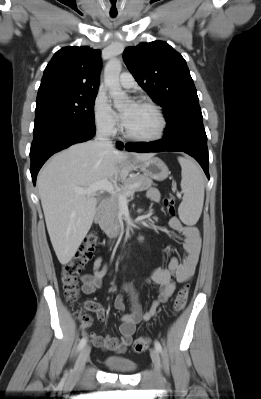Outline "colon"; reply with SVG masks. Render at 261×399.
<instances>
[{
  "label": "colon",
  "mask_w": 261,
  "mask_h": 399,
  "mask_svg": "<svg viewBox=\"0 0 261 399\" xmlns=\"http://www.w3.org/2000/svg\"><path fill=\"white\" fill-rule=\"evenodd\" d=\"M164 206L166 210L173 215L175 213L174 201L171 197H166L164 200ZM98 243L97 233H88L83 240V243L79 250L75 253L74 257L63 265L61 270V283L64 297L70 304H76L79 300V285L78 276L83 267L91 260L95 247ZM188 297V286H184L180 289L174 299L173 309L174 312H181L187 302ZM88 308V306H87ZM77 318L82 324H88L90 317L84 312H77ZM150 346V340L148 338L140 337L137 338L133 343V351L141 353Z\"/></svg>",
  "instance_id": "1"
}]
</instances>
